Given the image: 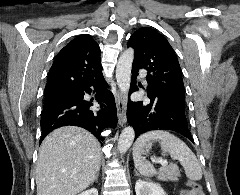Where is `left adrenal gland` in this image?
<instances>
[{"instance_id": "1", "label": "left adrenal gland", "mask_w": 240, "mask_h": 195, "mask_svg": "<svg viewBox=\"0 0 240 195\" xmlns=\"http://www.w3.org/2000/svg\"><path fill=\"white\" fill-rule=\"evenodd\" d=\"M135 175H140V173H138V171H135Z\"/></svg>"}]
</instances>
